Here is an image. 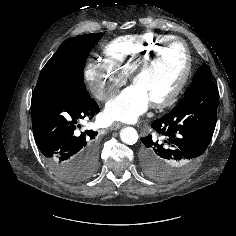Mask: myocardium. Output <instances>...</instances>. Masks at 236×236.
<instances>
[{
    "instance_id": "f54148a6",
    "label": "myocardium",
    "mask_w": 236,
    "mask_h": 236,
    "mask_svg": "<svg viewBox=\"0 0 236 236\" xmlns=\"http://www.w3.org/2000/svg\"><path fill=\"white\" fill-rule=\"evenodd\" d=\"M180 44L183 47L184 50V56H185V68L183 75L179 79L178 83L175 85V87L170 91L169 94H167L164 98L160 100H156L151 102V106L153 108L161 109L169 106L171 103H173L176 98L180 95L182 90L184 89L186 83L189 80L191 69H192V59L191 55L188 49V46L186 42L180 38H173L171 40H168L161 45H159L157 48H155L142 62H140L130 73V79L132 82L135 81V79L147 71L158 59V57L170 46Z\"/></svg>"
}]
</instances>
